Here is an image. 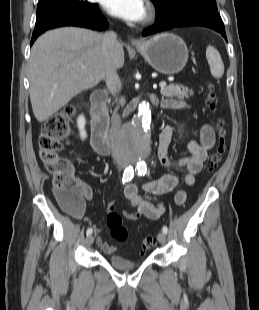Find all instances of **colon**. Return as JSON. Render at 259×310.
<instances>
[{
	"label": "colon",
	"instance_id": "colon-1",
	"mask_svg": "<svg viewBox=\"0 0 259 310\" xmlns=\"http://www.w3.org/2000/svg\"><path fill=\"white\" fill-rule=\"evenodd\" d=\"M206 105L211 112L217 110V96L212 85L206 99ZM76 109L68 106L63 113L48 119L43 125L40 137V159L53 177L54 195L59 204L69 213L79 215L83 210L85 194L76 181L71 161L60 154L63 140L69 135L70 120L74 117ZM227 151L226 129L222 119L217 121V140L215 152L207 165V172L211 173L218 167ZM107 226L113 239L124 242L128 238V230L122 217L115 211H109L106 219ZM156 243L153 234L147 235L142 241L144 250L151 249Z\"/></svg>",
	"mask_w": 259,
	"mask_h": 310
}]
</instances>
